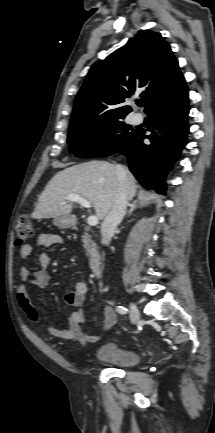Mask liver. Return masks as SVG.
Masks as SVG:
<instances>
[{"label": "liver", "instance_id": "6515ba94", "mask_svg": "<svg viewBox=\"0 0 215 433\" xmlns=\"http://www.w3.org/2000/svg\"><path fill=\"white\" fill-rule=\"evenodd\" d=\"M127 198L136 193V180L125 170L124 179ZM119 188L116 166L106 161L92 160L58 172L46 185L38 198L32 218L49 219L69 215L72 204L66 203L68 195L76 194L88 200L94 207L98 219L108 214Z\"/></svg>", "mask_w": 215, "mask_h": 433}]
</instances>
